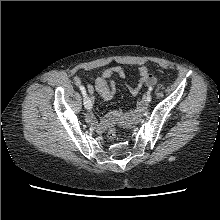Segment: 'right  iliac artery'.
Wrapping results in <instances>:
<instances>
[{
	"label": "right iliac artery",
	"instance_id": "82829eb1",
	"mask_svg": "<svg viewBox=\"0 0 220 220\" xmlns=\"http://www.w3.org/2000/svg\"><path fill=\"white\" fill-rule=\"evenodd\" d=\"M79 88H80V90H81V93H82L83 97H85V96H86V90H85V88H84L82 85H79Z\"/></svg>",
	"mask_w": 220,
	"mask_h": 220
}]
</instances>
